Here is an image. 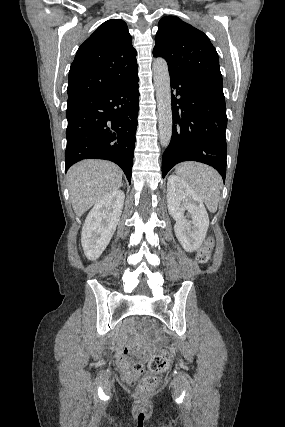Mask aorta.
I'll return each instance as SVG.
<instances>
[{"label":"aorta","mask_w":285,"mask_h":427,"mask_svg":"<svg viewBox=\"0 0 285 427\" xmlns=\"http://www.w3.org/2000/svg\"><path fill=\"white\" fill-rule=\"evenodd\" d=\"M152 69L156 90L159 139L161 145L167 147L172 136L171 88L167 62L163 58H156Z\"/></svg>","instance_id":"762f6f07"}]
</instances>
